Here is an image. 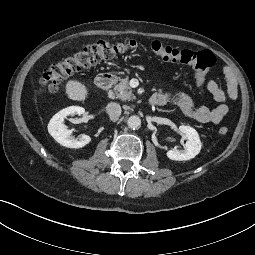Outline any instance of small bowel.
<instances>
[{
  "instance_id": "1",
  "label": "small bowel",
  "mask_w": 255,
  "mask_h": 255,
  "mask_svg": "<svg viewBox=\"0 0 255 255\" xmlns=\"http://www.w3.org/2000/svg\"><path fill=\"white\" fill-rule=\"evenodd\" d=\"M224 76L226 80V90H223L214 80L206 81V88L213 98L220 104L215 108L196 106L192 98L181 91H159L153 98L158 101V106L169 101L176 104L183 113L190 119L198 123H220L228 113V100H234L238 94V82L234 72L229 67H225Z\"/></svg>"
}]
</instances>
